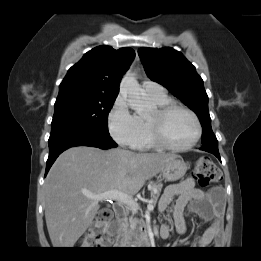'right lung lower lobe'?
I'll use <instances>...</instances> for the list:
<instances>
[{
  "mask_svg": "<svg viewBox=\"0 0 261 261\" xmlns=\"http://www.w3.org/2000/svg\"><path fill=\"white\" fill-rule=\"evenodd\" d=\"M49 157L46 163L47 175L56 158L66 149L74 146H92L100 149L117 147L109 134L92 129H72L51 133L49 140Z\"/></svg>",
  "mask_w": 261,
  "mask_h": 261,
  "instance_id": "1",
  "label": "right lung lower lobe"
}]
</instances>
